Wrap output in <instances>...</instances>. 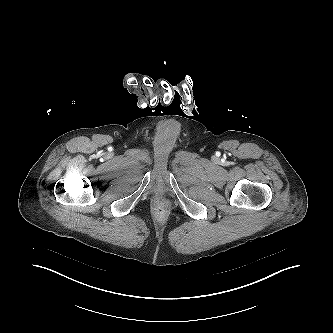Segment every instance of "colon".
I'll use <instances>...</instances> for the list:
<instances>
[{
  "instance_id": "1",
  "label": "colon",
  "mask_w": 333,
  "mask_h": 333,
  "mask_svg": "<svg viewBox=\"0 0 333 333\" xmlns=\"http://www.w3.org/2000/svg\"><path fill=\"white\" fill-rule=\"evenodd\" d=\"M163 205L162 204H158L157 205V209H158V211H163Z\"/></svg>"
}]
</instances>
